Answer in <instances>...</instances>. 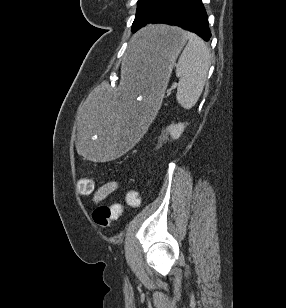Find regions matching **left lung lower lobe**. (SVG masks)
I'll return each instance as SVG.
<instances>
[{
    "label": "left lung lower lobe",
    "mask_w": 286,
    "mask_h": 308,
    "mask_svg": "<svg viewBox=\"0 0 286 308\" xmlns=\"http://www.w3.org/2000/svg\"><path fill=\"white\" fill-rule=\"evenodd\" d=\"M153 23L179 26L196 33L205 41L211 37L202 0H172Z\"/></svg>",
    "instance_id": "0a47b994"
}]
</instances>
